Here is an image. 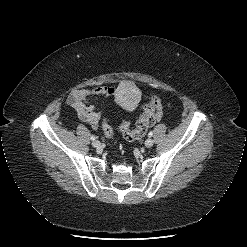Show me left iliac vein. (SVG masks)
<instances>
[{
    "mask_svg": "<svg viewBox=\"0 0 247 247\" xmlns=\"http://www.w3.org/2000/svg\"><path fill=\"white\" fill-rule=\"evenodd\" d=\"M153 144H154V141H153V139H151V138H148L146 141H145V146L146 147H152L153 146Z\"/></svg>",
    "mask_w": 247,
    "mask_h": 247,
    "instance_id": "obj_1",
    "label": "left iliac vein"
}]
</instances>
